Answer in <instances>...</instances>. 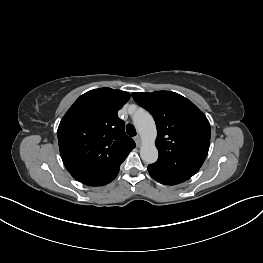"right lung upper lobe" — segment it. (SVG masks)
I'll list each match as a JSON object with an SVG mask.
<instances>
[{
  "instance_id": "cb5924a9",
  "label": "right lung upper lobe",
  "mask_w": 263,
  "mask_h": 263,
  "mask_svg": "<svg viewBox=\"0 0 263 263\" xmlns=\"http://www.w3.org/2000/svg\"><path fill=\"white\" fill-rule=\"evenodd\" d=\"M129 98L121 90L94 89L81 95L62 118L60 154L77 181L88 184L111 176L135 148L125 134L124 121L117 116Z\"/></svg>"
}]
</instances>
